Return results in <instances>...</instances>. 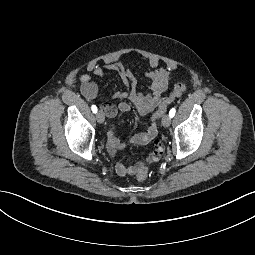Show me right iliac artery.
I'll list each match as a JSON object with an SVG mask.
<instances>
[{"label":"right iliac artery","instance_id":"obj_1","mask_svg":"<svg viewBox=\"0 0 255 255\" xmlns=\"http://www.w3.org/2000/svg\"><path fill=\"white\" fill-rule=\"evenodd\" d=\"M92 111H93V113L97 112V107L95 105H92Z\"/></svg>","mask_w":255,"mask_h":255}]
</instances>
